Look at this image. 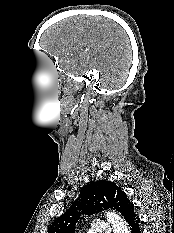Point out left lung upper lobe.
Returning a JSON list of instances; mask_svg holds the SVG:
<instances>
[{
	"label": "left lung upper lobe",
	"mask_w": 174,
	"mask_h": 233,
	"mask_svg": "<svg viewBox=\"0 0 174 233\" xmlns=\"http://www.w3.org/2000/svg\"><path fill=\"white\" fill-rule=\"evenodd\" d=\"M109 208L119 211L124 218L134 211L126 193L114 182H91L81 189L71 207L52 223L48 233H75L76 224L82 215L90 216Z\"/></svg>",
	"instance_id": "left-lung-upper-lobe-1"
}]
</instances>
